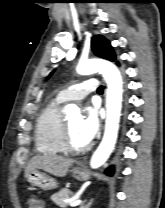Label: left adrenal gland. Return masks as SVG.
Listing matches in <instances>:
<instances>
[{"mask_svg": "<svg viewBox=\"0 0 165 208\" xmlns=\"http://www.w3.org/2000/svg\"><path fill=\"white\" fill-rule=\"evenodd\" d=\"M92 202H93V200H91L90 202H88V203L86 204V200H84V201H82V202L80 203V207H79V208H89V207L92 205Z\"/></svg>", "mask_w": 165, "mask_h": 208, "instance_id": "left-adrenal-gland-1", "label": "left adrenal gland"}]
</instances>
